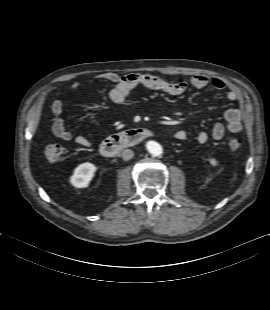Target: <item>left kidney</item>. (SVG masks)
<instances>
[{
	"instance_id": "5707ae66",
	"label": "left kidney",
	"mask_w": 270,
	"mask_h": 310,
	"mask_svg": "<svg viewBox=\"0 0 270 310\" xmlns=\"http://www.w3.org/2000/svg\"><path fill=\"white\" fill-rule=\"evenodd\" d=\"M209 162H210V164H211L212 166H217V165H218V162L216 161L215 158H210V159H209Z\"/></svg>"
}]
</instances>
